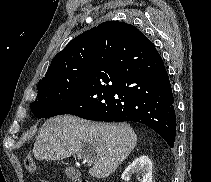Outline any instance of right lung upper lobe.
Segmentation results:
<instances>
[{"mask_svg":"<svg viewBox=\"0 0 211 182\" xmlns=\"http://www.w3.org/2000/svg\"><path fill=\"white\" fill-rule=\"evenodd\" d=\"M111 24L122 25L126 28V33L131 41L136 44H140L147 39L138 29L130 24L113 21L104 22L98 25V27H93L83 32L70 41L68 45L53 58L43 79L51 77L61 71L76 69V67L86 66L93 62L99 35L105 26Z\"/></svg>","mask_w":211,"mask_h":182,"instance_id":"obj_1","label":"right lung upper lobe"}]
</instances>
